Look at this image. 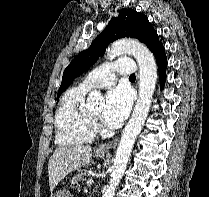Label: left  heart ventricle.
<instances>
[{
    "label": "left heart ventricle",
    "mask_w": 209,
    "mask_h": 197,
    "mask_svg": "<svg viewBox=\"0 0 209 197\" xmlns=\"http://www.w3.org/2000/svg\"><path fill=\"white\" fill-rule=\"evenodd\" d=\"M100 111H101V107L90 110V112L93 113L94 115H99Z\"/></svg>",
    "instance_id": "b2bd125f"
}]
</instances>
